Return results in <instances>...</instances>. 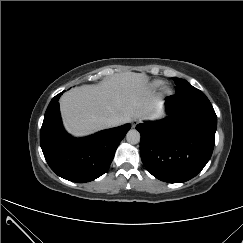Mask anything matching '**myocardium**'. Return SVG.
<instances>
[{"mask_svg": "<svg viewBox=\"0 0 243 243\" xmlns=\"http://www.w3.org/2000/svg\"><path fill=\"white\" fill-rule=\"evenodd\" d=\"M162 91L167 96L171 95L173 92L172 88L169 85L163 86Z\"/></svg>", "mask_w": 243, "mask_h": 243, "instance_id": "obj_1", "label": "myocardium"}]
</instances>
